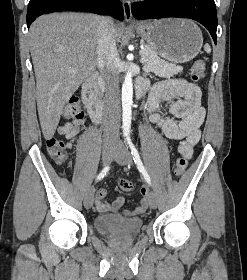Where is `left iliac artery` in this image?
Here are the masks:
<instances>
[{"label":"left iliac artery","mask_w":247,"mask_h":280,"mask_svg":"<svg viewBox=\"0 0 247 280\" xmlns=\"http://www.w3.org/2000/svg\"><path fill=\"white\" fill-rule=\"evenodd\" d=\"M127 143L130 147V150H131V154L133 156V160L135 162V164L137 165V168L138 170L142 173L144 179L146 180V182L151 186V179H150V176L149 174L147 173L142 161H141V158L139 156V153L136 149V147L134 146V144L132 143L130 137L127 138Z\"/></svg>","instance_id":"obj_1"}]
</instances>
